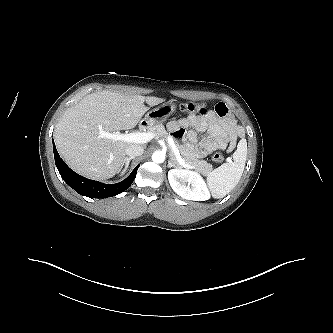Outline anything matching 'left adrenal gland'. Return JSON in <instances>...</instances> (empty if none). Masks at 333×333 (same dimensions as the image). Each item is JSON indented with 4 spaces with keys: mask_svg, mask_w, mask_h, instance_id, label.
I'll use <instances>...</instances> for the list:
<instances>
[{
    "mask_svg": "<svg viewBox=\"0 0 333 333\" xmlns=\"http://www.w3.org/2000/svg\"><path fill=\"white\" fill-rule=\"evenodd\" d=\"M179 165L176 163V161L174 160V158L171 156L170 160L168 161V167H178Z\"/></svg>",
    "mask_w": 333,
    "mask_h": 333,
    "instance_id": "a2214340",
    "label": "left adrenal gland"
}]
</instances>
